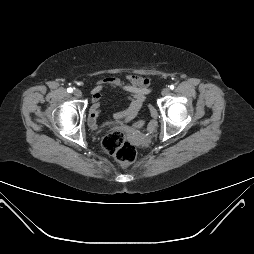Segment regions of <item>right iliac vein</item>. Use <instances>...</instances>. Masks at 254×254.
I'll list each match as a JSON object with an SVG mask.
<instances>
[{
    "instance_id": "obj_1",
    "label": "right iliac vein",
    "mask_w": 254,
    "mask_h": 254,
    "mask_svg": "<svg viewBox=\"0 0 254 254\" xmlns=\"http://www.w3.org/2000/svg\"><path fill=\"white\" fill-rule=\"evenodd\" d=\"M74 95H75L77 98H80V97L82 96L81 90L75 89V90H74Z\"/></svg>"
}]
</instances>
